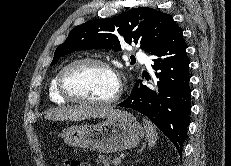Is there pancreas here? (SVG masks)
<instances>
[{"label": "pancreas", "instance_id": "obj_1", "mask_svg": "<svg viewBox=\"0 0 231 166\" xmlns=\"http://www.w3.org/2000/svg\"><path fill=\"white\" fill-rule=\"evenodd\" d=\"M97 163L102 164L103 166H111V164H113L114 166H118L120 164V161H116V158L111 160L110 157L100 155L98 157Z\"/></svg>", "mask_w": 231, "mask_h": 166}]
</instances>
